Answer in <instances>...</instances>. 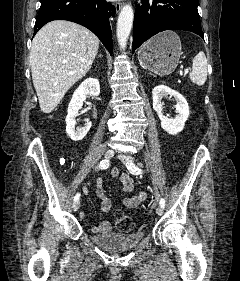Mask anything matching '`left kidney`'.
<instances>
[{
	"mask_svg": "<svg viewBox=\"0 0 240 281\" xmlns=\"http://www.w3.org/2000/svg\"><path fill=\"white\" fill-rule=\"evenodd\" d=\"M168 95L173 96L177 102L175 109L178 115H176L173 119L166 117L162 113L164 103L161 100L163 97ZM152 96L153 108L161 120V127L171 135L180 133L183 130L185 122L190 114L186 99L179 92L172 90L166 85H159L155 87L152 91Z\"/></svg>",
	"mask_w": 240,
	"mask_h": 281,
	"instance_id": "left-kidney-1",
	"label": "left kidney"
}]
</instances>
